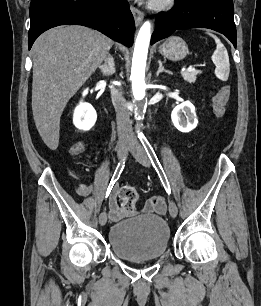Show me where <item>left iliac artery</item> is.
Instances as JSON below:
<instances>
[{"mask_svg": "<svg viewBox=\"0 0 261 306\" xmlns=\"http://www.w3.org/2000/svg\"><path fill=\"white\" fill-rule=\"evenodd\" d=\"M139 138H140V140H141V142H142V144H143V146H144V148H145V150H146V152H147V154H148V156H149V158L152 162V165L154 166L157 173L159 174V177H160V179H161V181L164 185V188H165L166 192L168 194H170L171 189H170L169 182L167 180V177H166V175L163 171V168H162L153 148L151 147L150 143L147 141V139L145 138L144 135L139 134Z\"/></svg>", "mask_w": 261, "mask_h": 306, "instance_id": "left-iliac-artery-1", "label": "left iliac artery"}]
</instances>
